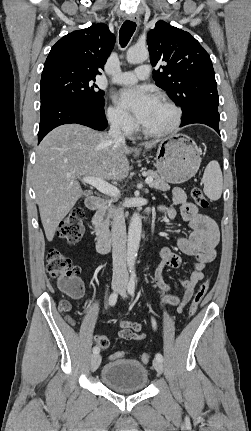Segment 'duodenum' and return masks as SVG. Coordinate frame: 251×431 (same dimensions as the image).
<instances>
[{
  "mask_svg": "<svg viewBox=\"0 0 251 431\" xmlns=\"http://www.w3.org/2000/svg\"><path fill=\"white\" fill-rule=\"evenodd\" d=\"M104 205L105 200L99 196H92L87 200V207L94 212L91 224L95 234L96 250L100 254L108 253L112 245L111 235L102 223L101 211Z\"/></svg>",
  "mask_w": 251,
  "mask_h": 431,
  "instance_id": "410a0bca",
  "label": "duodenum"
}]
</instances>
